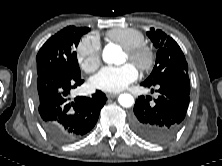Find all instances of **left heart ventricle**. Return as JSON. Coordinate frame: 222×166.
<instances>
[{
    "mask_svg": "<svg viewBox=\"0 0 222 166\" xmlns=\"http://www.w3.org/2000/svg\"><path fill=\"white\" fill-rule=\"evenodd\" d=\"M129 58H128V56L126 55V60H128Z\"/></svg>",
    "mask_w": 222,
    "mask_h": 166,
    "instance_id": "1",
    "label": "left heart ventricle"
}]
</instances>
